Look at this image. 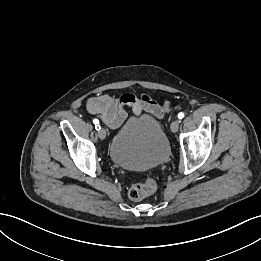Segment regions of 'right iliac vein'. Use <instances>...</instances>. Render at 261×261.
I'll return each instance as SVG.
<instances>
[{"mask_svg":"<svg viewBox=\"0 0 261 261\" xmlns=\"http://www.w3.org/2000/svg\"><path fill=\"white\" fill-rule=\"evenodd\" d=\"M98 137L101 139V140H104L106 138V131L101 128L100 130H98Z\"/></svg>","mask_w":261,"mask_h":261,"instance_id":"1","label":"right iliac vein"}]
</instances>
